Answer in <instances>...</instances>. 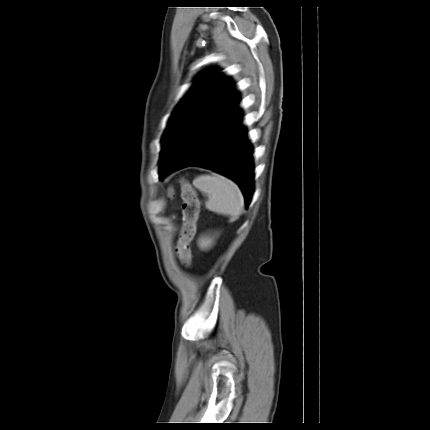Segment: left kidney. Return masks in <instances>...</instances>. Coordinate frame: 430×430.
I'll return each instance as SVG.
<instances>
[{
  "label": "left kidney",
  "mask_w": 430,
  "mask_h": 430,
  "mask_svg": "<svg viewBox=\"0 0 430 430\" xmlns=\"http://www.w3.org/2000/svg\"><path fill=\"white\" fill-rule=\"evenodd\" d=\"M198 244L201 249H206L212 245V238L202 237L199 239Z\"/></svg>",
  "instance_id": "left-kidney-1"
}]
</instances>
